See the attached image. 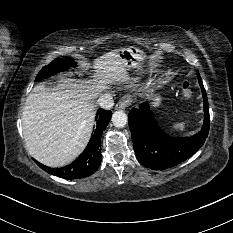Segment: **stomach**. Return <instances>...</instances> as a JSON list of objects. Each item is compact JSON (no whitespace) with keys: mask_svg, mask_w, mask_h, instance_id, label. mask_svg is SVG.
I'll return each mask as SVG.
<instances>
[{"mask_svg":"<svg viewBox=\"0 0 233 233\" xmlns=\"http://www.w3.org/2000/svg\"><path fill=\"white\" fill-rule=\"evenodd\" d=\"M118 55L125 61L127 68L139 67V61L143 58L144 53L142 50L129 46L117 50ZM152 105L158 107L161 104V97L159 95L151 96Z\"/></svg>","mask_w":233,"mask_h":233,"instance_id":"stomach-1","label":"stomach"}]
</instances>
